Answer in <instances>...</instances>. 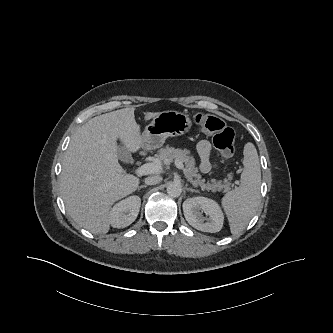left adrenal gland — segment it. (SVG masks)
<instances>
[{
    "mask_svg": "<svg viewBox=\"0 0 333 333\" xmlns=\"http://www.w3.org/2000/svg\"><path fill=\"white\" fill-rule=\"evenodd\" d=\"M185 189L187 190V191H191V192H199L198 190H195V189H193V188H189V187H185Z\"/></svg>",
    "mask_w": 333,
    "mask_h": 333,
    "instance_id": "a2214340",
    "label": "left adrenal gland"
}]
</instances>
